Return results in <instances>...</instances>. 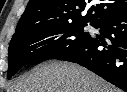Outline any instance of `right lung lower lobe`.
Masks as SVG:
<instances>
[{"instance_id": "obj_1", "label": "right lung lower lobe", "mask_w": 127, "mask_h": 92, "mask_svg": "<svg viewBox=\"0 0 127 92\" xmlns=\"http://www.w3.org/2000/svg\"><path fill=\"white\" fill-rule=\"evenodd\" d=\"M101 35L90 37L56 58L78 63L127 92V10L92 25Z\"/></svg>"}]
</instances>
